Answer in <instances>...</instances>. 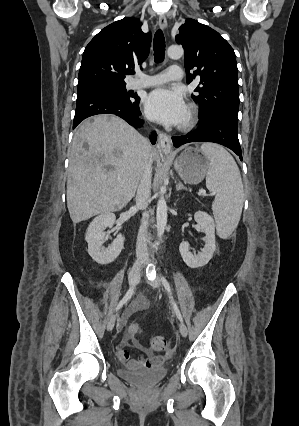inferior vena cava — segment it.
Here are the masks:
<instances>
[{
  "label": "inferior vena cava",
  "mask_w": 299,
  "mask_h": 426,
  "mask_svg": "<svg viewBox=\"0 0 299 426\" xmlns=\"http://www.w3.org/2000/svg\"><path fill=\"white\" fill-rule=\"evenodd\" d=\"M150 146V144H149ZM151 148V146H150ZM151 159H148V162L143 170V173L140 178V182L136 194V207L142 210H146L150 202L151 196V178H152V168H151ZM148 212H143L141 225L137 237L136 245V262L135 267H139L148 262V251H147V228H148Z\"/></svg>",
  "instance_id": "1"
}]
</instances>
